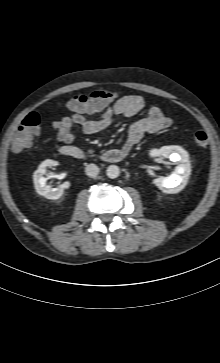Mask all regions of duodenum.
I'll return each mask as SVG.
<instances>
[{"mask_svg":"<svg viewBox=\"0 0 220 363\" xmlns=\"http://www.w3.org/2000/svg\"><path fill=\"white\" fill-rule=\"evenodd\" d=\"M129 149L126 147H122L120 149H110L104 152L102 155V160L106 163H117L125 159L128 155ZM60 153L63 156L77 159V160H85L88 158L87 153L74 146L65 145L60 148Z\"/></svg>","mask_w":220,"mask_h":363,"instance_id":"obj_1","label":"duodenum"}]
</instances>
